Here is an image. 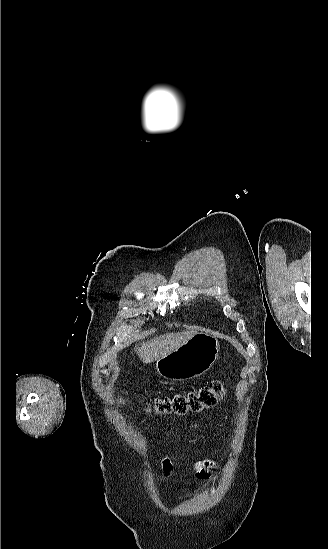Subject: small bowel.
I'll return each instance as SVG.
<instances>
[{"label": "small bowel", "mask_w": 328, "mask_h": 549, "mask_svg": "<svg viewBox=\"0 0 328 549\" xmlns=\"http://www.w3.org/2000/svg\"><path fill=\"white\" fill-rule=\"evenodd\" d=\"M204 424L201 422L193 421L187 424V427L190 429H197L202 427ZM181 458V454H176L175 456L165 455L161 460V470L165 475H171L175 472L177 468V461ZM212 465V462L203 460L197 461L192 465V469L199 475L203 476L205 474V469Z\"/></svg>", "instance_id": "small-bowel-1"}]
</instances>
